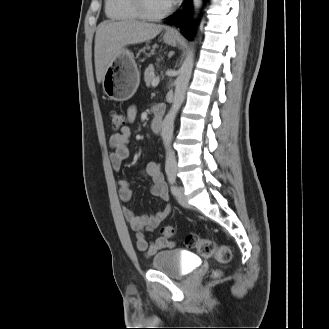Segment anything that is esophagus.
Wrapping results in <instances>:
<instances>
[{
    "instance_id": "1",
    "label": "esophagus",
    "mask_w": 329,
    "mask_h": 329,
    "mask_svg": "<svg viewBox=\"0 0 329 329\" xmlns=\"http://www.w3.org/2000/svg\"><path fill=\"white\" fill-rule=\"evenodd\" d=\"M167 33L170 35H176V31L174 29L168 30Z\"/></svg>"
}]
</instances>
